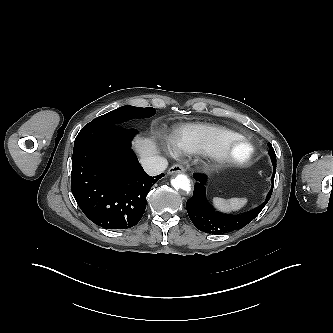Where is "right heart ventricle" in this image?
<instances>
[{"instance_id": "obj_1", "label": "right heart ventricle", "mask_w": 333, "mask_h": 333, "mask_svg": "<svg viewBox=\"0 0 333 333\" xmlns=\"http://www.w3.org/2000/svg\"><path fill=\"white\" fill-rule=\"evenodd\" d=\"M236 136L234 132L219 125L193 123L178 127L171 136V143L181 152L207 153L220 141Z\"/></svg>"}]
</instances>
